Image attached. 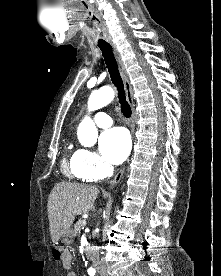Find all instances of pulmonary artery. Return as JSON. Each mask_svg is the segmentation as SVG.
Masks as SVG:
<instances>
[{"mask_svg": "<svg viewBox=\"0 0 221 276\" xmlns=\"http://www.w3.org/2000/svg\"><path fill=\"white\" fill-rule=\"evenodd\" d=\"M94 122L101 128H107L112 125V119L104 112H98L94 116Z\"/></svg>", "mask_w": 221, "mask_h": 276, "instance_id": "e3ab8cb5", "label": "pulmonary artery"}]
</instances>
